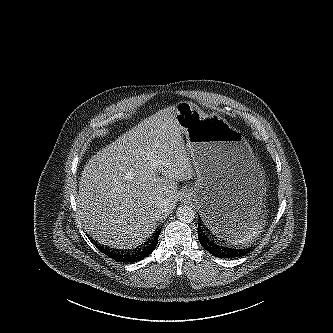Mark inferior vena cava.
<instances>
[{"label":"inferior vena cava","instance_id":"obj_1","mask_svg":"<svg viewBox=\"0 0 333 333\" xmlns=\"http://www.w3.org/2000/svg\"><path fill=\"white\" fill-rule=\"evenodd\" d=\"M167 212H168V210H167L165 204H159V205H158L157 213H158L159 215L165 214V213H167Z\"/></svg>","mask_w":333,"mask_h":333}]
</instances>
